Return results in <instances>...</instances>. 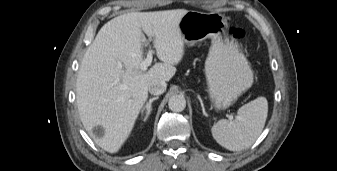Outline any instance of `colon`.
<instances>
[{
  "label": "colon",
  "mask_w": 337,
  "mask_h": 171,
  "mask_svg": "<svg viewBox=\"0 0 337 171\" xmlns=\"http://www.w3.org/2000/svg\"><path fill=\"white\" fill-rule=\"evenodd\" d=\"M230 33L236 39H240V38H243L245 36V31L241 28H238V27H233L231 29Z\"/></svg>",
  "instance_id": "5ec220e1"
}]
</instances>
